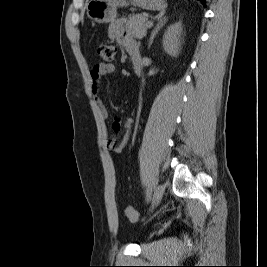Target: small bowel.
Returning a JSON list of instances; mask_svg holds the SVG:
<instances>
[{"instance_id": "1", "label": "small bowel", "mask_w": 267, "mask_h": 267, "mask_svg": "<svg viewBox=\"0 0 267 267\" xmlns=\"http://www.w3.org/2000/svg\"><path fill=\"white\" fill-rule=\"evenodd\" d=\"M109 38L117 41L120 45H122L131 59L139 58L140 52L137 43L124 31L123 23L121 20L113 21L108 30ZM116 72V68L113 64L109 63H98L91 70V83H92V93L95 97V102L99 113L103 119H107L109 114L104 106L102 100L99 98V84L102 77L106 75H111ZM135 120L133 118H127L123 120L121 117H115L112 123L113 134L110 135L106 140V146L108 150L113 153L119 154L126 147L131 130ZM122 132V136L119 140H117L116 135Z\"/></svg>"}]
</instances>
